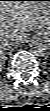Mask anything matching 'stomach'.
Masks as SVG:
<instances>
[{"instance_id":"obj_1","label":"stomach","mask_w":50,"mask_h":111,"mask_svg":"<svg viewBox=\"0 0 50 111\" xmlns=\"http://www.w3.org/2000/svg\"><path fill=\"white\" fill-rule=\"evenodd\" d=\"M44 25H47L45 28H46V31L42 34V35H44V36H48V33H49V23H46V24H44Z\"/></svg>"}]
</instances>
